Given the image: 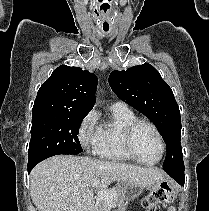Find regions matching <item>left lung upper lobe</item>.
I'll list each match as a JSON object with an SVG mask.
<instances>
[{"label":"left lung upper lobe","instance_id":"5c2ea615","mask_svg":"<svg viewBox=\"0 0 209 211\" xmlns=\"http://www.w3.org/2000/svg\"><path fill=\"white\" fill-rule=\"evenodd\" d=\"M109 84L122 101L146 115L157 126L167 144L163 169L174 171L183 168L180 111L171 88L159 72L144 63L126 71H113Z\"/></svg>","mask_w":209,"mask_h":211}]
</instances>
